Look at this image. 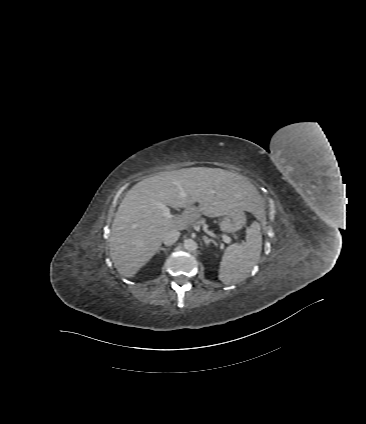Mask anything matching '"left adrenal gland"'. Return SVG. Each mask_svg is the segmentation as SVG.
I'll use <instances>...</instances> for the list:
<instances>
[{
	"label": "left adrenal gland",
	"instance_id": "left-adrenal-gland-1",
	"mask_svg": "<svg viewBox=\"0 0 366 424\" xmlns=\"http://www.w3.org/2000/svg\"><path fill=\"white\" fill-rule=\"evenodd\" d=\"M204 243L208 247L210 243H213L216 246V242L212 239H209L207 236H203Z\"/></svg>",
	"mask_w": 366,
	"mask_h": 424
}]
</instances>
